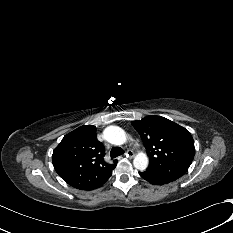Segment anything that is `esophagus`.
I'll return each instance as SVG.
<instances>
[{
    "label": "esophagus",
    "instance_id": "obj_1",
    "mask_svg": "<svg viewBox=\"0 0 233 233\" xmlns=\"http://www.w3.org/2000/svg\"><path fill=\"white\" fill-rule=\"evenodd\" d=\"M126 157L133 158L134 157V152L131 150H127L125 153Z\"/></svg>",
    "mask_w": 233,
    "mask_h": 233
}]
</instances>
